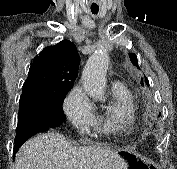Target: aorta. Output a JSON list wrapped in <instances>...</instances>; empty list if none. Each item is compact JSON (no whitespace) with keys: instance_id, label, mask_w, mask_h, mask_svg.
Masks as SVG:
<instances>
[{"instance_id":"obj_1","label":"aorta","mask_w":177,"mask_h":169,"mask_svg":"<svg viewBox=\"0 0 177 169\" xmlns=\"http://www.w3.org/2000/svg\"><path fill=\"white\" fill-rule=\"evenodd\" d=\"M109 55L103 48L97 49L87 60L82 72V84L85 92L95 100H102L106 87V72Z\"/></svg>"}]
</instances>
